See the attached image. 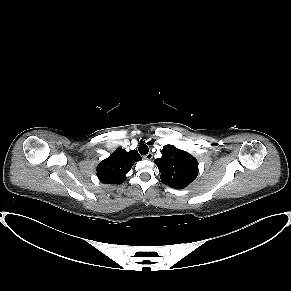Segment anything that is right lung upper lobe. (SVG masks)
Instances as JSON below:
<instances>
[{
  "label": "right lung upper lobe",
  "instance_id": "right-lung-upper-lobe-1",
  "mask_svg": "<svg viewBox=\"0 0 291 291\" xmlns=\"http://www.w3.org/2000/svg\"><path fill=\"white\" fill-rule=\"evenodd\" d=\"M142 158L136 150L126 152L118 148L108 158L101 161L96 169L97 176L102 183L117 184L126 180V174L133 164Z\"/></svg>",
  "mask_w": 291,
  "mask_h": 291
}]
</instances>
